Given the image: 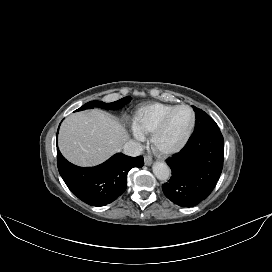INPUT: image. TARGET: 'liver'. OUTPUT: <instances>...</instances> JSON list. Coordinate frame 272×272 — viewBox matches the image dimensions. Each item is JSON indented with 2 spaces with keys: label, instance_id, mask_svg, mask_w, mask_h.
I'll return each mask as SVG.
<instances>
[{
  "label": "liver",
  "instance_id": "liver-1",
  "mask_svg": "<svg viewBox=\"0 0 272 272\" xmlns=\"http://www.w3.org/2000/svg\"><path fill=\"white\" fill-rule=\"evenodd\" d=\"M119 121L99 110L68 116L59 131L58 145L62 155L78 166L98 165L119 151L128 140Z\"/></svg>",
  "mask_w": 272,
  "mask_h": 272
}]
</instances>
